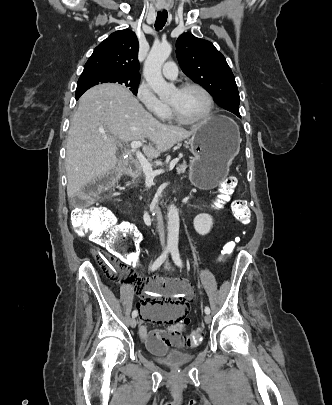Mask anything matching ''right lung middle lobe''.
<instances>
[{
	"label": "right lung middle lobe",
	"mask_w": 332,
	"mask_h": 405,
	"mask_svg": "<svg viewBox=\"0 0 332 405\" xmlns=\"http://www.w3.org/2000/svg\"><path fill=\"white\" fill-rule=\"evenodd\" d=\"M139 82L140 77H132L110 70L83 72L77 83L76 94L84 93L92 86L100 83H117L127 87L134 95H137Z\"/></svg>",
	"instance_id": "right-lung-middle-lobe-1"
}]
</instances>
